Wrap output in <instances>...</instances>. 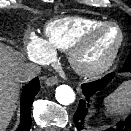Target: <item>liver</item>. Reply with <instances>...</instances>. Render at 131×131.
Masks as SVG:
<instances>
[{
	"label": "liver",
	"instance_id": "1",
	"mask_svg": "<svg viewBox=\"0 0 131 131\" xmlns=\"http://www.w3.org/2000/svg\"><path fill=\"white\" fill-rule=\"evenodd\" d=\"M21 58L9 47L0 43V131H4L13 116L20 84L16 74Z\"/></svg>",
	"mask_w": 131,
	"mask_h": 131
}]
</instances>
